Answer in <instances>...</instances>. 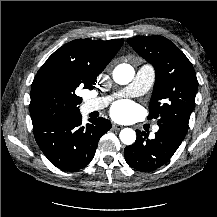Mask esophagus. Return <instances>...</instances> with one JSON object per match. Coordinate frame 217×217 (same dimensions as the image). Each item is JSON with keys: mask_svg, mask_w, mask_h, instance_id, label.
Wrapping results in <instances>:
<instances>
[{"mask_svg": "<svg viewBox=\"0 0 217 217\" xmlns=\"http://www.w3.org/2000/svg\"><path fill=\"white\" fill-rule=\"evenodd\" d=\"M112 128H113L114 130H120V129L122 128V126L113 123V124H112Z\"/></svg>", "mask_w": 217, "mask_h": 217, "instance_id": "esophagus-1", "label": "esophagus"}]
</instances>
